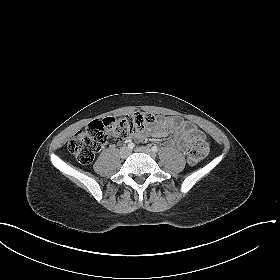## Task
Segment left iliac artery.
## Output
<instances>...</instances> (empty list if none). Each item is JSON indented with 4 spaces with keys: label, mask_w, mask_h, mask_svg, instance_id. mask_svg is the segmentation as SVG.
I'll use <instances>...</instances> for the list:
<instances>
[{
    "label": "left iliac artery",
    "mask_w": 280,
    "mask_h": 280,
    "mask_svg": "<svg viewBox=\"0 0 280 280\" xmlns=\"http://www.w3.org/2000/svg\"><path fill=\"white\" fill-rule=\"evenodd\" d=\"M152 151H153V152H157V151H158V147H157V146H153V147H152Z\"/></svg>",
    "instance_id": "obj_1"
}]
</instances>
